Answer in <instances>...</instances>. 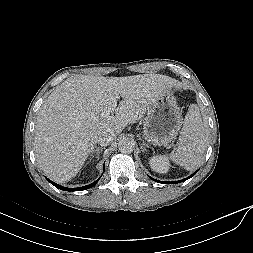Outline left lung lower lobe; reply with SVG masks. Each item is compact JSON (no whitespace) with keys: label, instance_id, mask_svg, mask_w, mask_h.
<instances>
[{"label":"left lung lower lobe","instance_id":"left-lung-lower-lobe-1","mask_svg":"<svg viewBox=\"0 0 253 253\" xmlns=\"http://www.w3.org/2000/svg\"><path fill=\"white\" fill-rule=\"evenodd\" d=\"M196 173H197V171H196L195 173H193L191 176H189L188 178H185V179L180 180V181H175V182H164V181L155 180V179H153V178H151V177H150V178H151L152 180L157 181V182H160V183H164V184H174V183L183 182V181L189 179L190 177L194 176Z\"/></svg>","mask_w":253,"mask_h":253}]
</instances>
